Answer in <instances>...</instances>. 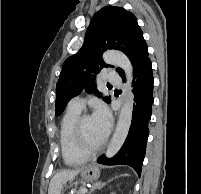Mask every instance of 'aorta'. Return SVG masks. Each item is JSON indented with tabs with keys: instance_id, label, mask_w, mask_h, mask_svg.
<instances>
[{
	"instance_id": "obj_1",
	"label": "aorta",
	"mask_w": 201,
	"mask_h": 194,
	"mask_svg": "<svg viewBox=\"0 0 201 194\" xmlns=\"http://www.w3.org/2000/svg\"><path fill=\"white\" fill-rule=\"evenodd\" d=\"M103 60L107 64L118 66L125 72L128 89L126 91L123 106L120 111L119 119L115 132L106 151V157H113L124 144L132 121L133 95L131 92V83L133 79V67L129 58L120 51H106L103 54Z\"/></svg>"
}]
</instances>
